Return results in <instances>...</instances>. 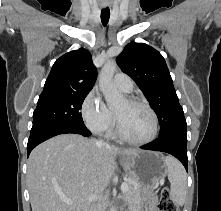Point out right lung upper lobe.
I'll use <instances>...</instances> for the list:
<instances>
[{
	"label": "right lung upper lobe",
	"instance_id": "obj_1",
	"mask_svg": "<svg viewBox=\"0 0 221 211\" xmlns=\"http://www.w3.org/2000/svg\"><path fill=\"white\" fill-rule=\"evenodd\" d=\"M96 77L90 52L80 48L56 60L42 93H86L93 88Z\"/></svg>",
	"mask_w": 221,
	"mask_h": 211
}]
</instances>
